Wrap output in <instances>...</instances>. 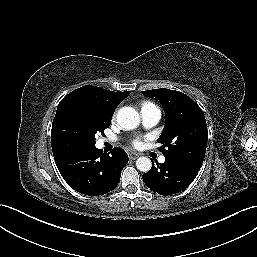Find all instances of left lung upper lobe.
<instances>
[{
    "label": "left lung upper lobe",
    "mask_w": 257,
    "mask_h": 257,
    "mask_svg": "<svg viewBox=\"0 0 257 257\" xmlns=\"http://www.w3.org/2000/svg\"><path fill=\"white\" fill-rule=\"evenodd\" d=\"M159 100L166 123L159 142L164 156L186 157L203 163L207 146V124L200 107L187 95L165 88L142 91Z\"/></svg>",
    "instance_id": "left-lung-upper-lobe-1"
}]
</instances>
